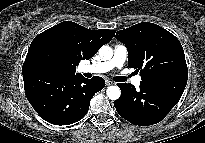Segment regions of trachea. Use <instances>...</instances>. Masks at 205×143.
Masks as SVG:
<instances>
[{"label": "trachea", "instance_id": "trachea-1", "mask_svg": "<svg viewBox=\"0 0 205 143\" xmlns=\"http://www.w3.org/2000/svg\"><path fill=\"white\" fill-rule=\"evenodd\" d=\"M114 81L116 82H124L126 80V77L124 76H116L113 78Z\"/></svg>", "mask_w": 205, "mask_h": 143}]
</instances>
